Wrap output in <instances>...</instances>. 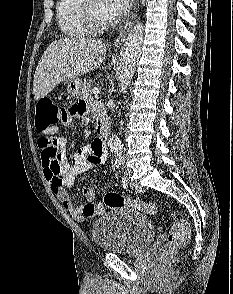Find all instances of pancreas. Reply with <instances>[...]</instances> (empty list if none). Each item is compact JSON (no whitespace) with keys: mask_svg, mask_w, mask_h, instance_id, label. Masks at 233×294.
Masks as SVG:
<instances>
[{"mask_svg":"<svg viewBox=\"0 0 233 294\" xmlns=\"http://www.w3.org/2000/svg\"><path fill=\"white\" fill-rule=\"evenodd\" d=\"M91 86L87 81H84L82 88H81V99H87L91 96Z\"/></svg>","mask_w":233,"mask_h":294,"instance_id":"obj_1","label":"pancreas"}]
</instances>
